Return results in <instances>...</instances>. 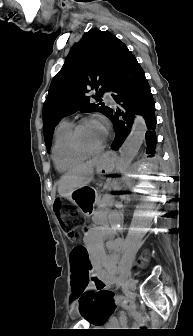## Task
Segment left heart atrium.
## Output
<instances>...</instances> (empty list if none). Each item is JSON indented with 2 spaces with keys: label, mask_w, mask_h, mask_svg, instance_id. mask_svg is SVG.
<instances>
[{
  "label": "left heart atrium",
  "mask_w": 193,
  "mask_h": 336,
  "mask_svg": "<svg viewBox=\"0 0 193 336\" xmlns=\"http://www.w3.org/2000/svg\"><path fill=\"white\" fill-rule=\"evenodd\" d=\"M95 124L99 125L105 131L103 122H95Z\"/></svg>",
  "instance_id": "39dd6f15"
}]
</instances>
